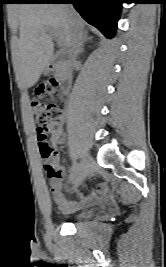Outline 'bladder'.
<instances>
[{"label":"bladder","instance_id":"1","mask_svg":"<svg viewBox=\"0 0 166 267\" xmlns=\"http://www.w3.org/2000/svg\"><path fill=\"white\" fill-rule=\"evenodd\" d=\"M90 213L89 212H82V213H78L76 214L72 219L74 221H80V220H84L87 217H89Z\"/></svg>","mask_w":166,"mask_h":267}]
</instances>
